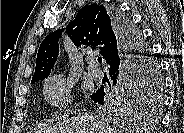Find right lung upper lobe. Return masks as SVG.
Segmentation results:
<instances>
[{
  "mask_svg": "<svg viewBox=\"0 0 184 133\" xmlns=\"http://www.w3.org/2000/svg\"><path fill=\"white\" fill-rule=\"evenodd\" d=\"M75 46L100 48L107 63L120 48V38L114 28L111 11L103 5L84 6L66 28ZM63 29L49 34L42 41L36 59L35 73L31 82L47 78L59 53L58 40Z\"/></svg>",
  "mask_w": 184,
  "mask_h": 133,
  "instance_id": "obj_1",
  "label": "right lung upper lobe"
}]
</instances>
